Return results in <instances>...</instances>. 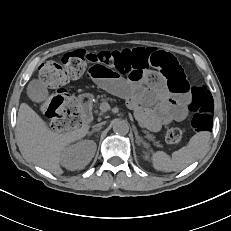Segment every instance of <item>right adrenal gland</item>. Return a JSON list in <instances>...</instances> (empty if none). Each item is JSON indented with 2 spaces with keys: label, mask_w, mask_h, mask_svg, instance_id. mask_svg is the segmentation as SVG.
<instances>
[{
  "label": "right adrenal gland",
  "mask_w": 231,
  "mask_h": 231,
  "mask_svg": "<svg viewBox=\"0 0 231 231\" xmlns=\"http://www.w3.org/2000/svg\"><path fill=\"white\" fill-rule=\"evenodd\" d=\"M101 128H102V127H98V128L93 129L91 132H89V135L93 134L94 132L100 131Z\"/></svg>",
  "instance_id": "2a0ac1e0"
}]
</instances>
